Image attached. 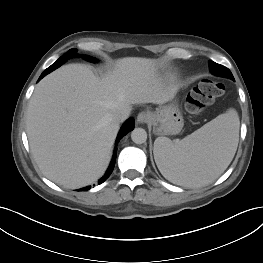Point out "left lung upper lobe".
I'll use <instances>...</instances> for the list:
<instances>
[{
    "instance_id": "1",
    "label": "left lung upper lobe",
    "mask_w": 263,
    "mask_h": 263,
    "mask_svg": "<svg viewBox=\"0 0 263 263\" xmlns=\"http://www.w3.org/2000/svg\"><path fill=\"white\" fill-rule=\"evenodd\" d=\"M209 67L215 68V70H216V73H214L215 75L221 76V77H226V78L234 80V77L228 68H226L220 64H217L215 62H212V61L209 62Z\"/></svg>"
}]
</instances>
